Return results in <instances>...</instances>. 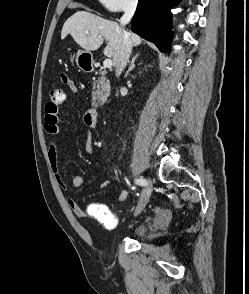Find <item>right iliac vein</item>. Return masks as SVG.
Returning <instances> with one entry per match:
<instances>
[{"instance_id": "obj_1", "label": "right iliac vein", "mask_w": 249, "mask_h": 294, "mask_svg": "<svg viewBox=\"0 0 249 294\" xmlns=\"http://www.w3.org/2000/svg\"><path fill=\"white\" fill-rule=\"evenodd\" d=\"M150 196H151V185H150V181L148 180V184L143 189L142 195L137 205L135 216L139 215L142 212V210L145 208L146 204L148 203Z\"/></svg>"}]
</instances>
